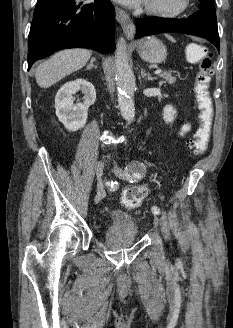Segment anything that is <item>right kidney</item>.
I'll return each mask as SVG.
<instances>
[{
	"label": "right kidney",
	"mask_w": 233,
	"mask_h": 328,
	"mask_svg": "<svg viewBox=\"0 0 233 328\" xmlns=\"http://www.w3.org/2000/svg\"><path fill=\"white\" fill-rule=\"evenodd\" d=\"M81 90L83 103L73 104V95ZM96 100V91L92 83L85 79H77L65 83L55 97L56 116L69 131H77L87 121L88 108Z\"/></svg>",
	"instance_id": "ca27d5eb"
}]
</instances>
